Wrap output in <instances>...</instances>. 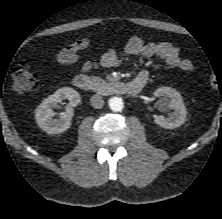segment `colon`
Listing matches in <instances>:
<instances>
[{
	"instance_id": "1",
	"label": "colon",
	"mask_w": 222,
	"mask_h": 219,
	"mask_svg": "<svg viewBox=\"0 0 222 219\" xmlns=\"http://www.w3.org/2000/svg\"><path fill=\"white\" fill-rule=\"evenodd\" d=\"M13 90L16 93H24L35 90L38 86L37 74L27 62H20L12 70ZM217 81L211 78V85L216 86Z\"/></svg>"
}]
</instances>
